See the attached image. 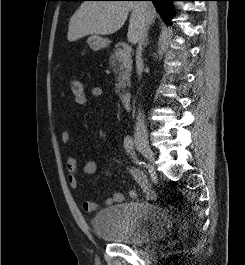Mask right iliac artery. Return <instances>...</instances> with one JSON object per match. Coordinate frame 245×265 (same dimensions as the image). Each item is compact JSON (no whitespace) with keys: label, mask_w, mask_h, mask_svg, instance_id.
I'll return each instance as SVG.
<instances>
[{"label":"right iliac artery","mask_w":245,"mask_h":265,"mask_svg":"<svg viewBox=\"0 0 245 265\" xmlns=\"http://www.w3.org/2000/svg\"><path fill=\"white\" fill-rule=\"evenodd\" d=\"M124 148L126 149V152L131 154L132 158L135 160V162L137 164H142L137 158H136V155H135V152H134V143H133V140H132V137L130 136H126L124 138Z\"/></svg>","instance_id":"1"}]
</instances>
